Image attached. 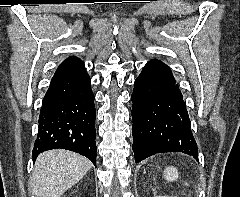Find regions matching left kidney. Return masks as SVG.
<instances>
[{
    "label": "left kidney",
    "instance_id": "5707ae66",
    "mask_svg": "<svg viewBox=\"0 0 240 197\" xmlns=\"http://www.w3.org/2000/svg\"><path fill=\"white\" fill-rule=\"evenodd\" d=\"M156 197H168V196H156Z\"/></svg>",
    "mask_w": 240,
    "mask_h": 197
}]
</instances>
